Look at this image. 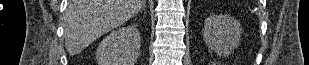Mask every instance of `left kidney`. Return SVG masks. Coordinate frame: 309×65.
<instances>
[{"label": "left kidney", "instance_id": "obj_1", "mask_svg": "<svg viewBox=\"0 0 309 65\" xmlns=\"http://www.w3.org/2000/svg\"><path fill=\"white\" fill-rule=\"evenodd\" d=\"M240 23L227 15L209 16L204 21V42L219 56H228L238 47Z\"/></svg>", "mask_w": 309, "mask_h": 65}]
</instances>
